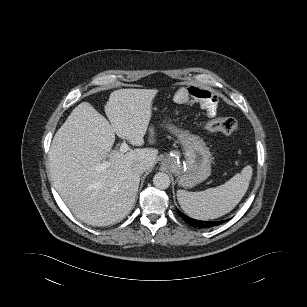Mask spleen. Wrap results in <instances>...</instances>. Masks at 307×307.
Returning a JSON list of instances; mask_svg holds the SVG:
<instances>
[{
    "mask_svg": "<svg viewBox=\"0 0 307 307\" xmlns=\"http://www.w3.org/2000/svg\"><path fill=\"white\" fill-rule=\"evenodd\" d=\"M252 177L250 165L226 183L200 192L177 191L182 210L199 220L215 219L230 212L245 195Z\"/></svg>",
    "mask_w": 307,
    "mask_h": 307,
    "instance_id": "spleen-1",
    "label": "spleen"
}]
</instances>
